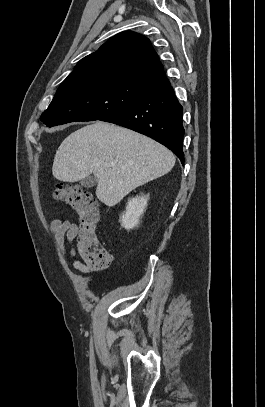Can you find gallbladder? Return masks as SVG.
<instances>
[{"mask_svg": "<svg viewBox=\"0 0 265 407\" xmlns=\"http://www.w3.org/2000/svg\"><path fill=\"white\" fill-rule=\"evenodd\" d=\"M80 183L85 188H91L97 184V179L95 177L89 176L82 179Z\"/></svg>", "mask_w": 265, "mask_h": 407, "instance_id": "gallbladder-1", "label": "gallbladder"}]
</instances>
